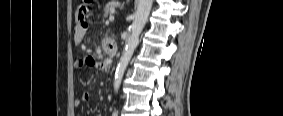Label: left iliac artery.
<instances>
[{"label": "left iliac artery", "mask_w": 283, "mask_h": 116, "mask_svg": "<svg viewBox=\"0 0 283 116\" xmlns=\"http://www.w3.org/2000/svg\"><path fill=\"white\" fill-rule=\"evenodd\" d=\"M113 116H118V112H117V111H114V112H113Z\"/></svg>", "instance_id": "1"}]
</instances>
